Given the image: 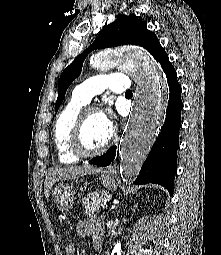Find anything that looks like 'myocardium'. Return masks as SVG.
<instances>
[{
    "label": "myocardium",
    "mask_w": 221,
    "mask_h": 255,
    "mask_svg": "<svg viewBox=\"0 0 221 255\" xmlns=\"http://www.w3.org/2000/svg\"><path fill=\"white\" fill-rule=\"evenodd\" d=\"M91 114H102L101 111L97 108H88L87 110L83 111L72 132L71 137V147L73 152L82 158H88V157H94L103 154L105 151L108 150V148L112 145V143L115 140L116 131L113 125H110V135L107 139V141L98 149L95 150H88L83 141V129L86 123V120L89 115Z\"/></svg>",
    "instance_id": "1"
}]
</instances>
